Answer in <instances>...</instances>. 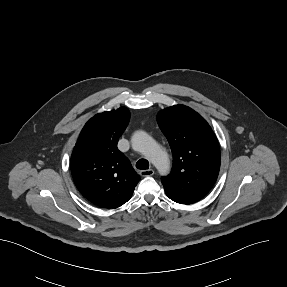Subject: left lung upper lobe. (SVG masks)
Masks as SVG:
<instances>
[{
  "label": "left lung upper lobe",
  "instance_id": "left-lung-upper-lobe-1",
  "mask_svg": "<svg viewBox=\"0 0 287 287\" xmlns=\"http://www.w3.org/2000/svg\"><path fill=\"white\" fill-rule=\"evenodd\" d=\"M157 121L173 154L172 171L161 178L166 195L177 203H194L203 198L217 180L218 141L206 120L184 105L160 111Z\"/></svg>",
  "mask_w": 287,
  "mask_h": 287
}]
</instances>
